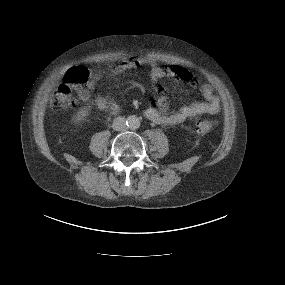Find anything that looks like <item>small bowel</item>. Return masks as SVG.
Masks as SVG:
<instances>
[{"mask_svg": "<svg viewBox=\"0 0 285 285\" xmlns=\"http://www.w3.org/2000/svg\"><path fill=\"white\" fill-rule=\"evenodd\" d=\"M142 62L148 64L152 67V78L158 80L162 76V72L159 67H157L156 62L153 58L147 57L143 58ZM136 67L132 64L120 63L115 67V71H124ZM184 69V68H183ZM186 70V69H185ZM187 71V70H186ZM175 73V72H174ZM184 82H193V77L189 71L187 74L180 73L178 75ZM94 81H90L87 86L79 87L77 89L79 98L84 102H89L92 100V90L94 89ZM203 100L192 103L191 105L185 106L178 111L169 113L168 112V99L165 95H153L152 105L145 111V116L150 121L160 124V125H177L189 118H193L203 114H216L220 110L219 99L213 94V89L208 84H203L198 88ZM95 105L104 111L111 113H117L120 111V105L105 97L97 96L94 99Z\"/></svg>", "mask_w": 285, "mask_h": 285, "instance_id": "obj_1", "label": "small bowel"}]
</instances>
